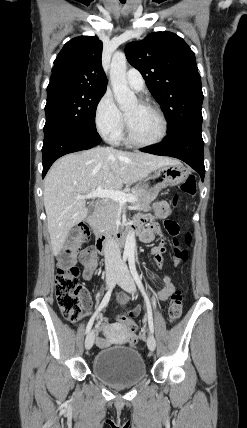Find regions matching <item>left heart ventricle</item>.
I'll use <instances>...</instances> for the list:
<instances>
[{
	"mask_svg": "<svg viewBox=\"0 0 247 428\" xmlns=\"http://www.w3.org/2000/svg\"><path fill=\"white\" fill-rule=\"evenodd\" d=\"M125 116L133 135L137 139L151 141L160 135L162 129L160 119L148 107L133 102L125 109Z\"/></svg>",
	"mask_w": 247,
	"mask_h": 428,
	"instance_id": "left-heart-ventricle-1",
	"label": "left heart ventricle"
}]
</instances>
